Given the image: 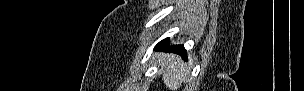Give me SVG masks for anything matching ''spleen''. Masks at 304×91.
I'll use <instances>...</instances> for the list:
<instances>
[{
    "instance_id": "3e777b00",
    "label": "spleen",
    "mask_w": 304,
    "mask_h": 91,
    "mask_svg": "<svg viewBox=\"0 0 304 91\" xmlns=\"http://www.w3.org/2000/svg\"><path fill=\"white\" fill-rule=\"evenodd\" d=\"M187 74V69L182 62L171 58L162 61V79L171 91H177Z\"/></svg>"
}]
</instances>
